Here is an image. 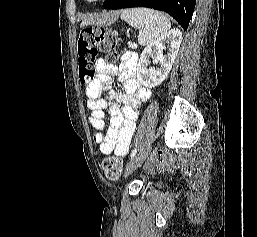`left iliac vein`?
<instances>
[{
    "label": "left iliac vein",
    "instance_id": "4c4485c4",
    "mask_svg": "<svg viewBox=\"0 0 257 237\" xmlns=\"http://www.w3.org/2000/svg\"><path fill=\"white\" fill-rule=\"evenodd\" d=\"M148 150H141L126 166V174H131L147 157Z\"/></svg>",
    "mask_w": 257,
    "mask_h": 237
}]
</instances>
